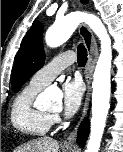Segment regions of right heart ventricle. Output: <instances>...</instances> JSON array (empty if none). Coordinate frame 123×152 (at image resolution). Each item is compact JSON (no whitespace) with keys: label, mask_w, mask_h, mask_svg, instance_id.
Returning a JSON list of instances; mask_svg holds the SVG:
<instances>
[{"label":"right heart ventricle","mask_w":123,"mask_h":152,"mask_svg":"<svg viewBox=\"0 0 123 152\" xmlns=\"http://www.w3.org/2000/svg\"><path fill=\"white\" fill-rule=\"evenodd\" d=\"M40 90L26 86L16 97L11 110L12 125L20 132L34 137L46 135L52 125V116L33 105Z\"/></svg>","instance_id":"obj_1"}]
</instances>
